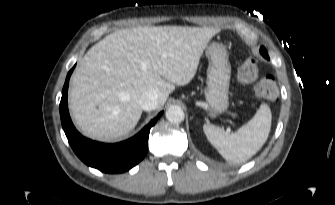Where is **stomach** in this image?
I'll list each match as a JSON object with an SVG mask.
<instances>
[{"mask_svg":"<svg viewBox=\"0 0 335 205\" xmlns=\"http://www.w3.org/2000/svg\"><path fill=\"white\" fill-rule=\"evenodd\" d=\"M205 54L209 60L205 98L210 107L209 114L214 117L228 108L231 66L222 43H210L205 48Z\"/></svg>","mask_w":335,"mask_h":205,"instance_id":"1","label":"stomach"}]
</instances>
